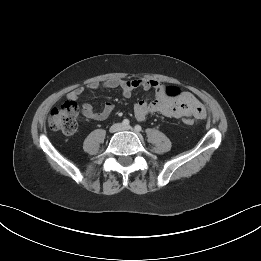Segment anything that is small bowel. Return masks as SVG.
<instances>
[{"instance_id":"obj_1","label":"small bowel","mask_w":261,"mask_h":261,"mask_svg":"<svg viewBox=\"0 0 261 261\" xmlns=\"http://www.w3.org/2000/svg\"><path fill=\"white\" fill-rule=\"evenodd\" d=\"M90 90H97L100 87L106 89L119 88L122 95L129 98L132 92L137 88H143L150 91L155 100L147 102L141 100L134 106V114L138 121H144L149 114L158 113L169 118H191L195 120L204 119L206 111L202 103L190 92L181 91L177 97H171L167 94V87L161 82L153 79H119L112 78L102 83L91 82L87 86ZM84 89L78 87L67 94L69 101L76 102ZM114 110V104L107 102L103 109L96 111L89 103L82 105L83 115L91 120H105Z\"/></svg>"}]
</instances>
